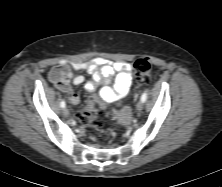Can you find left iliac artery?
Masks as SVG:
<instances>
[{"label":"left iliac artery","instance_id":"1","mask_svg":"<svg viewBox=\"0 0 222 187\" xmlns=\"http://www.w3.org/2000/svg\"><path fill=\"white\" fill-rule=\"evenodd\" d=\"M147 99V92H144L141 96V101L145 102Z\"/></svg>","mask_w":222,"mask_h":187}]
</instances>
